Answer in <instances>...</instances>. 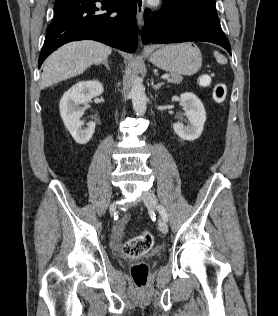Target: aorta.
Returning <instances> with one entry per match:
<instances>
[{
	"label": "aorta",
	"instance_id": "1",
	"mask_svg": "<svg viewBox=\"0 0 278 316\" xmlns=\"http://www.w3.org/2000/svg\"><path fill=\"white\" fill-rule=\"evenodd\" d=\"M130 96L135 113L138 116H143L147 108V96L143 84L140 81H133Z\"/></svg>",
	"mask_w": 278,
	"mask_h": 316
}]
</instances>
